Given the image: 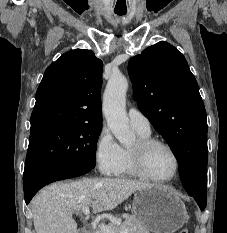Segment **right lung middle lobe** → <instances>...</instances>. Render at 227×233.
<instances>
[{
  "instance_id": "dd1d6c3e",
  "label": "right lung middle lobe",
  "mask_w": 227,
  "mask_h": 233,
  "mask_svg": "<svg viewBox=\"0 0 227 233\" xmlns=\"http://www.w3.org/2000/svg\"><path fill=\"white\" fill-rule=\"evenodd\" d=\"M101 124L60 125L30 134L23 179L56 166L93 169Z\"/></svg>"
}]
</instances>
